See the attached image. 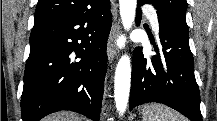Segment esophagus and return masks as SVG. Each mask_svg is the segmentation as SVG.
Instances as JSON below:
<instances>
[{
    "instance_id": "obj_1",
    "label": "esophagus",
    "mask_w": 217,
    "mask_h": 121,
    "mask_svg": "<svg viewBox=\"0 0 217 121\" xmlns=\"http://www.w3.org/2000/svg\"><path fill=\"white\" fill-rule=\"evenodd\" d=\"M121 26L119 23H115L113 25V28L111 30V33L109 35L108 39V45H107V54L109 57V60L112 62L116 56H117V49H116V41L120 34Z\"/></svg>"
}]
</instances>
